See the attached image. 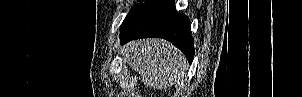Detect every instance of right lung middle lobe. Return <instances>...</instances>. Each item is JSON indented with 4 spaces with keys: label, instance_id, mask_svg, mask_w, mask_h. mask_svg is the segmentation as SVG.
Returning <instances> with one entry per match:
<instances>
[{
    "label": "right lung middle lobe",
    "instance_id": "dd1d6c3e",
    "mask_svg": "<svg viewBox=\"0 0 302 97\" xmlns=\"http://www.w3.org/2000/svg\"><path fill=\"white\" fill-rule=\"evenodd\" d=\"M139 1H142L138 4H136L131 10L130 12L128 13V15L126 16V18L124 19L122 25L143 5V1L144 0H139ZM121 25V26H122Z\"/></svg>",
    "mask_w": 302,
    "mask_h": 97
}]
</instances>
